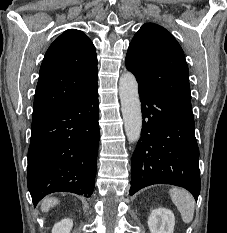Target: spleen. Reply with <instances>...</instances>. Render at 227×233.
<instances>
[{"label":"spleen","instance_id":"3e777b00","mask_svg":"<svg viewBox=\"0 0 227 233\" xmlns=\"http://www.w3.org/2000/svg\"><path fill=\"white\" fill-rule=\"evenodd\" d=\"M169 194L172 202L179 210L182 220L186 224L192 222L195 210V200L193 196L182 188H172Z\"/></svg>","mask_w":227,"mask_h":233}]
</instances>
